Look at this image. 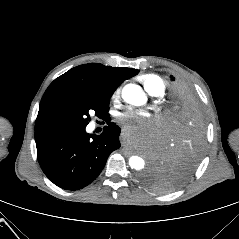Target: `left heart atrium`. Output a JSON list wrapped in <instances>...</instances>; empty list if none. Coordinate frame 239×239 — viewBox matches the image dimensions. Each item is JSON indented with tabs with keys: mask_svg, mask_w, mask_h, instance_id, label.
I'll return each instance as SVG.
<instances>
[{
	"mask_svg": "<svg viewBox=\"0 0 239 239\" xmlns=\"http://www.w3.org/2000/svg\"><path fill=\"white\" fill-rule=\"evenodd\" d=\"M135 118L136 123H125V129L129 132H134L136 130H143L145 132H150L154 128V121L146 118V114L140 111H130L126 113L122 119Z\"/></svg>",
	"mask_w": 239,
	"mask_h": 239,
	"instance_id": "obj_1",
	"label": "left heart atrium"
}]
</instances>
